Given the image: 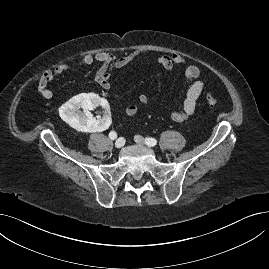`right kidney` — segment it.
I'll return each instance as SVG.
<instances>
[{"instance_id": "ca27d5eb", "label": "right kidney", "mask_w": 269, "mask_h": 269, "mask_svg": "<svg viewBox=\"0 0 269 269\" xmlns=\"http://www.w3.org/2000/svg\"><path fill=\"white\" fill-rule=\"evenodd\" d=\"M99 105L103 106L106 110L109 109L108 102L97 95L81 94L66 102L61 107L60 112L62 113L63 120L76 130L102 133L112 125V118L105 116L94 119L90 110ZM80 108L83 109V112L80 111Z\"/></svg>"}]
</instances>
